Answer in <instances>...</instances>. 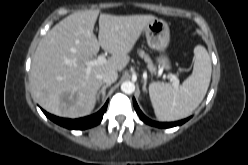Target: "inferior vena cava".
Here are the masks:
<instances>
[{
    "label": "inferior vena cava",
    "mask_w": 248,
    "mask_h": 165,
    "mask_svg": "<svg viewBox=\"0 0 248 165\" xmlns=\"http://www.w3.org/2000/svg\"><path fill=\"white\" fill-rule=\"evenodd\" d=\"M117 78H118V74L114 70L107 71L102 75V81L106 84L114 83L117 80Z\"/></svg>",
    "instance_id": "inferior-vena-cava-1"
}]
</instances>
